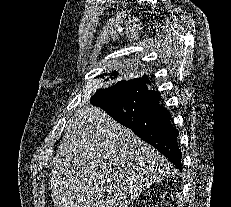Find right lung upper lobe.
I'll list each match as a JSON object with an SVG mask.
<instances>
[{
    "instance_id": "right-lung-upper-lobe-1",
    "label": "right lung upper lobe",
    "mask_w": 231,
    "mask_h": 207,
    "mask_svg": "<svg viewBox=\"0 0 231 207\" xmlns=\"http://www.w3.org/2000/svg\"><path fill=\"white\" fill-rule=\"evenodd\" d=\"M118 74H119L118 71L113 70L111 73H109V77L107 79L109 78L113 79V76L115 78Z\"/></svg>"
}]
</instances>
